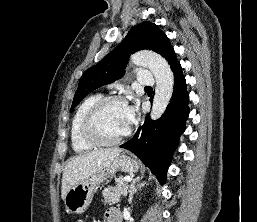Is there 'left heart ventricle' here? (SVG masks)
<instances>
[{
    "instance_id": "left-heart-ventricle-1",
    "label": "left heart ventricle",
    "mask_w": 257,
    "mask_h": 222,
    "mask_svg": "<svg viewBox=\"0 0 257 222\" xmlns=\"http://www.w3.org/2000/svg\"><path fill=\"white\" fill-rule=\"evenodd\" d=\"M126 106L111 104L98 116L97 127L106 139H115L123 135L129 128L125 115Z\"/></svg>"
}]
</instances>
